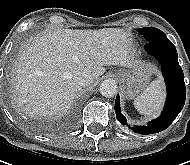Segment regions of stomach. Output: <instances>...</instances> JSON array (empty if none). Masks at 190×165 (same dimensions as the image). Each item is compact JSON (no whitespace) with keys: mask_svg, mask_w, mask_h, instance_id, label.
Here are the masks:
<instances>
[{"mask_svg":"<svg viewBox=\"0 0 190 165\" xmlns=\"http://www.w3.org/2000/svg\"><path fill=\"white\" fill-rule=\"evenodd\" d=\"M154 73V68L148 64H137L129 69L118 70V77L127 98L132 99L143 93Z\"/></svg>","mask_w":190,"mask_h":165,"instance_id":"stomach-1","label":"stomach"}]
</instances>
